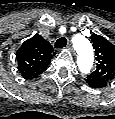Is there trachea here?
Masks as SVG:
<instances>
[{"label": "trachea", "instance_id": "3493384b", "mask_svg": "<svg viewBox=\"0 0 115 119\" xmlns=\"http://www.w3.org/2000/svg\"><path fill=\"white\" fill-rule=\"evenodd\" d=\"M66 45H67V39L65 37H61L56 41L55 48L61 49V48L66 47Z\"/></svg>", "mask_w": 115, "mask_h": 119}]
</instances>
